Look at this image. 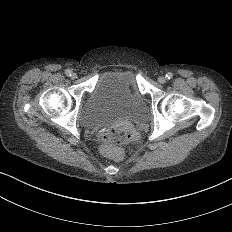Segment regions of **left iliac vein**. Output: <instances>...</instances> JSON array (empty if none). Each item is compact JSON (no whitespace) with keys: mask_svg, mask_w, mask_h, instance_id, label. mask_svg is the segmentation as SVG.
Listing matches in <instances>:
<instances>
[{"mask_svg":"<svg viewBox=\"0 0 232 232\" xmlns=\"http://www.w3.org/2000/svg\"><path fill=\"white\" fill-rule=\"evenodd\" d=\"M158 81H159L160 84H165L166 83V77L165 76H160L158 78Z\"/></svg>","mask_w":232,"mask_h":232,"instance_id":"1","label":"left iliac vein"}]
</instances>
